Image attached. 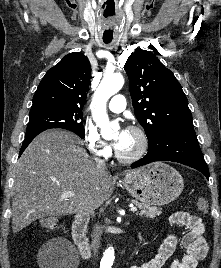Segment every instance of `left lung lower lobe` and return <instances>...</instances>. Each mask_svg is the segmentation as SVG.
<instances>
[{
    "instance_id": "obj_1",
    "label": "left lung lower lobe",
    "mask_w": 221,
    "mask_h": 268,
    "mask_svg": "<svg viewBox=\"0 0 221 268\" xmlns=\"http://www.w3.org/2000/svg\"><path fill=\"white\" fill-rule=\"evenodd\" d=\"M148 143L147 155L134 162L132 168L154 161H173L195 168L209 179V170L193 128L171 130Z\"/></svg>"
}]
</instances>
